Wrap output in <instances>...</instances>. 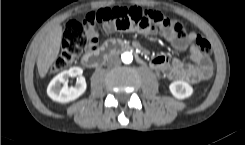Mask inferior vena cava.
Here are the masks:
<instances>
[{
	"label": "inferior vena cava",
	"instance_id": "obj_1",
	"mask_svg": "<svg viewBox=\"0 0 245 145\" xmlns=\"http://www.w3.org/2000/svg\"><path fill=\"white\" fill-rule=\"evenodd\" d=\"M120 64V59L118 57H112L108 61L109 66H118Z\"/></svg>",
	"mask_w": 245,
	"mask_h": 145
}]
</instances>
